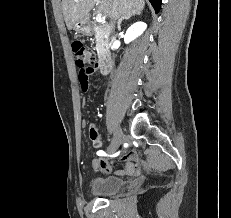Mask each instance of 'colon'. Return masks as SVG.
<instances>
[{
  "label": "colon",
  "instance_id": "5ec220e1",
  "mask_svg": "<svg viewBox=\"0 0 231 218\" xmlns=\"http://www.w3.org/2000/svg\"><path fill=\"white\" fill-rule=\"evenodd\" d=\"M72 52L78 69H85V66H93L96 63L95 53L81 41H74L72 43Z\"/></svg>",
  "mask_w": 231,
  "mask_h": 218
}]
</instances>
